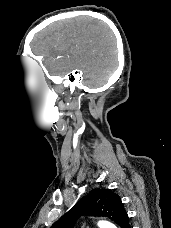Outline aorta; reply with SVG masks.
I'll use <instances>...</instances> for the list:
<instances>
[{
  "instance_id": "aorta-1",
  "label": "aorta",
  "mask_w": 171,
  "mask_h": 228,
  "mask_svg": "<svg viewBox=\"0 0 171 228\" xmlns=\"http://www.w3.org/2000/svg\"><path fill=\"white\" fill-rule=\"evenodd\" d=\"M98 226L100 228H116V226L114 224H112L111 222H108V221H100L98 223Z\"/></svg>"
}]
</instances>
